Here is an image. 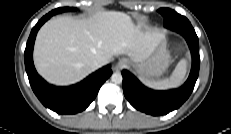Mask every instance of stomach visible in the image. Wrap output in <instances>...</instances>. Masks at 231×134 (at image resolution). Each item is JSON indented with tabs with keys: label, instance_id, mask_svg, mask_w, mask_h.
Returning <instances> with one entry per match:
<instances>
[{
	"label": "stomach",
	"instance_id": "0dacf381",
	"mask_svg": "<svg viewBox=\"0 0 231 134\" xmlns=\"http://www.w3.org/2000/svg\"><path fill=\"white\" fill-rule=\"evenodd\" d=\"M125 62L142 80L158 79L167 71L171 63L165 37L147 57L139 60L125 59Z\"/></svg>",
	"mask_w": 231,
	"mask_h": 134
}]
</instances>
